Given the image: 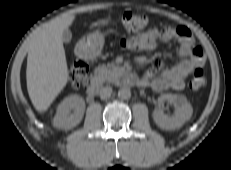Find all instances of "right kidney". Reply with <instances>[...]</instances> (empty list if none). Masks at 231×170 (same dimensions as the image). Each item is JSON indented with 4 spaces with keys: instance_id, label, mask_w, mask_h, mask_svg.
Listing matches in <instances>:
<instances>
[{
    "instance_id": "ca27d5eb",
    "label": "right kidney",
    "mask_w": 231,
    "mask_h": 170,
    "mask_svg": "<svg viewBox=\"0 0 231 170\" xmlns=\"http://www.w3.org/2000/svg\"><path fill=\"white\" fill-rule=\"evenodd\" d=\"M85 102L79 95L66 97L57 107L53 125L59 129H71L77 126L84 115Z\"/></svg>"
}]
</instances>
